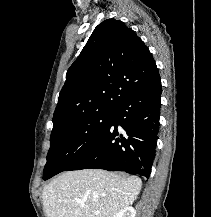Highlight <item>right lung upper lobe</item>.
I'll use <instances>...</instances> for the list:
<instances>
[{
    "mask_svg": "<svg viewBox=\"0 0 211 217\" xmlns=\"http://www.w3.org/2000/svg\"><path fill=\"white\" fill-rule=\"evenodd\" d=\"M157 77L158 68L144 42L122 21L107 19L94 29L67 71L53 128L92 111L115 110Z\"/></svg>",
    "mask_w": 211,
    "mask_h": 217,
    "instance_id": "1",
    "label": "right lung upper lobe"
}]
</instances>
